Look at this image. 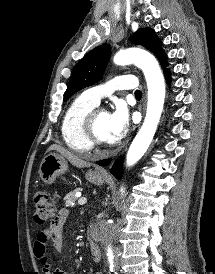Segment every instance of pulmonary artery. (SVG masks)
Wrapping results in <instances>:
<instances>
[{"instance_id": "e3ab8cb5", "label": "pulmonary artery", "mask_w": 215, "mask_h": 274, "mask_svg": "<svg viewBox=\"0 0 215 274\" xmlns=\"http://www.w3.org/2000/svg\"><path fill=\"white\" fill-rule=\"evenodd\" d=\"M137 80L134 76L131 75H119L111 79L105 84L98 85L84 91V95L94 102L99 104L100 100L115 90H132L136 89Z\"/></svg>"}]
</instances>
